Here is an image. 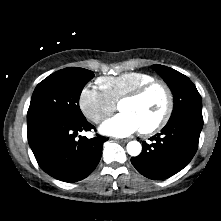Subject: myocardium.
<instances>
[{
  "label": "myocardium",
  "mask_w": 221,
  "mask_h": 221,
  "mask_svg": "<svg viewBox=\"0 0 221 221\" xmlns=\"http://www.w3.org/2000/svg\"><path fill=\"white\" fill-rule=\"evenodd\" d=\"M154 88H160L164 95H165V108L162 116L158 121H156L154 124L141 128V132L145 135L153 134L158 131H160L162 128L166 126V124L169 122L172 112H173V107H174V98H173V93L170 89V87L161 80H152L137 89L129 92L128 94L124 95L120 101L119 105L124 102V101H131V100H137L145 96L148 92H150Z\"/></svg>",
  "instance_id": "1"
}]
</instances>
